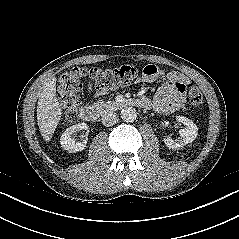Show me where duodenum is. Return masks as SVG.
<instances>
[{"mask_svg":"<svg viewBox=\"0 0 239 239\" xmlns=\"http://www.w3.org/2000/svg\"><path fill=\"white\" fill-rule=\"evenodd\" d=\"M124 106H136L140 109L149 110L152 107L151 102L145 98H132L125 101H121L115 105L110 106V108H118ZM80 118L86 122H93L98 117V111L89 105H83L79 112Z\"/></svg>","mask_w":239,"mask_h":239,"instance_id":"410a0bca","label":"duodenum"}]
</instances>
